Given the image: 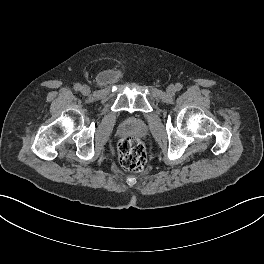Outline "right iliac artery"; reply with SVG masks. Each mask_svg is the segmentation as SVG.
<instances>
[{"mask_svg":"<svg viewBox=\"0 0 264 264\" xmlns=\"http://www.w3.org/2000/svg\"><path fill=\"white\" fill-rule=\"evenodd\" d=\"M74 89H75L76 91L81 90V84L76 83V84L74 85Z\"/></svg>","mask_w":264,"mask_h":264,"instance_id":"right-iliac-artery-1","label":"right iliac artery"}]
</instances>
